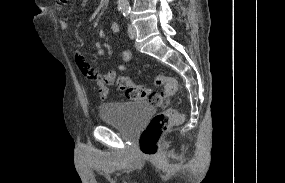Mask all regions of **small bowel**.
<instances>
[{
	"label": "small bowel",
	"instance_id": "1",
	"mask_svg": "<svg viewBox=\"0 0 285 183\" xmlns=\"http://www.w3.org/2000/svg\"><path fill=\"white\" fill-rule=\"evenodd\" d=\"M59 24L62 30L65 31L68 29V22L65 19H61ZM112 29L114 32H118L119 26L116 23H114ZM94 47L96 50L97 57L104 55L105 50L101 42H95ZM76 60L78 65L83 63L90 67V69L95 75V78L90 80L94 81L95 84L97 85L99 98L105 100L109 94V86L113 84L116 78V72L114 70L99 72L95 70L88 62H86L84 57L80 54L76 56ZM130 60H131V52L129 50H125L122 53V63L123 64L128 63Z\"/></svg>",
	"mask_w": 285,
	"mask_h": 183
}]
</instances>
